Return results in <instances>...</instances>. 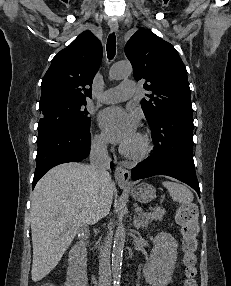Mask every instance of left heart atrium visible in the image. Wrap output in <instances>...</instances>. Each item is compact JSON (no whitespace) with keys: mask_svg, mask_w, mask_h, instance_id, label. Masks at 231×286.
Listing matches in <instances>:
<instances>
[{"mask_svg":"<svg viewBox=\"0 0 231 286\" xmlns=\"http://www.w3.org/2000/svg\"><path fill=\"white\" fill-rule=\"evenodd\" d=\"M98 121L108 139L121 146L128 145L137 135L136 119L121 107L104 109L99 114Z\"/></svg>","mask_w":231,"mask_h":286,"instance_id":"39dd6f15","label":"left heart atrium"}]
</instances>
